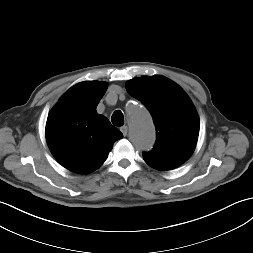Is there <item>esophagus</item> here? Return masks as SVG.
<instances>
[{
	"instance_id": "1",
	"label": "esophagus",
	"mask_w": 253,
	"mask_h": 253,
	"mask_svg": "<svg viewBox=\"0 0 253 253\" xmlns=\"http://www.w3.org/2000/svg\"><path fill=\"white\" fill-rule=\"evenodd\" d=\"M120 130H121V132L123 133L124 136L127 135V133H128V127L127 126H122L120 128Z\"/></svg>"
}]
</instances>
